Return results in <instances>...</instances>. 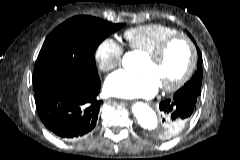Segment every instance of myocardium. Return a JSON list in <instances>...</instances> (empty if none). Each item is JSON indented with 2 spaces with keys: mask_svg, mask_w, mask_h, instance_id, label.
I'll return each mask as SVG.
<instances>
[{
  "mask_svg": "<svg viewBox=\"0 0 240 160\" xmlns=\"http://www.w3.org/2000/svg\"><path fill=\"white\" fill-rule=\"evenodd\" d=\"M178 41L184 42L189 49L190 57H189L188 66H187L185 72L182 74V76L176 82H174L171 85H162L161 86V89L164 92L178 91L190 80V78L192 77V75L195 71L196 64H197L198 54H197L196 46L189 37L178 33V34L169 36L166 39H164L154 51L147 54V56L154 62H160L164 58L169 47L173 43L178 42Z\"/></svg>",
  "mask_w": 240,
  "mask_h": 160,
  "instance_id": "f54148a6",
  "label": "myocardium"
}]
</instances>
